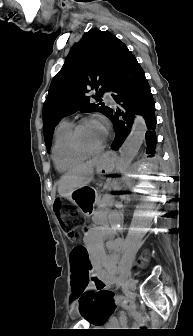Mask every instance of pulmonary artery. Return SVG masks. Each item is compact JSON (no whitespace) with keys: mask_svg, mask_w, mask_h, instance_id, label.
Returning a JSON list of instances; mask_svg holds the SVG:
<instances>
[{"mask_svg":"<svg viewBox=\"0 0 193 336\" xmlns=\"http://www.w3.org/2000/svg\"><path fill=\"white\" fill-rule=\"evenodd\" d=\"M104 99L108 104L113 105V106L115 105V100L113 99L111 95H108V94L105 95Z\"/></svg>","mask_w":193,"mask_h":336,"instance_id":"1","label":"pulmonary artery"}]
</instances>
